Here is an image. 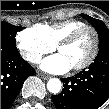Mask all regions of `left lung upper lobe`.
Listing matches in <instances>:
<instances>
[{"label": "left lung upper lobe", "mask_w": 109, "mask_h": 109, "mask_svg": "<svg viewBox=\"0 0 109 109\" xmlns=\"http://www.w3.org/2000/svg\"><path fill=\"white\" fill-rule=\"evenodd\" d=\"M81 17L90 22L96 29L99 36V51L109 49V29L98 19L92 18L86 14H81Z\"/></svg>", "instance_id": "1"}]
</instances>
